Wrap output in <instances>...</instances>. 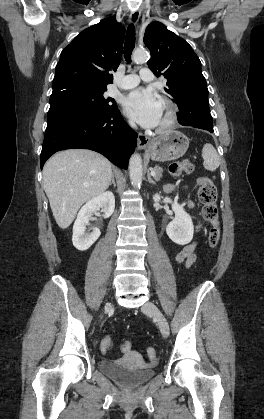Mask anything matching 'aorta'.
Here are the masks:
<instances>
[{
    "instance_id": "1",
    "label": "aorta",
    "mask_w": 264,
    "mask_h": 419,
    "mask_svg": "<svg viewBox=\"0 0 264 419\" xmlns=\"http://www.w3.org/2000/svg\"><path fill=\"white\" fill-rule=\"evenodd\" d=\"M149 54L145 50H136L133 53V60L137 64L146 62ZM130 180L132 186L140 188L142 184V159L139 154H133L129 160Z\"/></svg>"
}]
</instances>
